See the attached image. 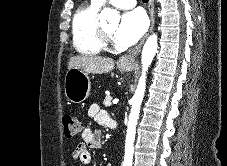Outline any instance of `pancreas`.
<instances>
[{
  "instance_id": "pancreas-1",
  "label": "pancreas",
  "mask_w": 227,
  "mask_h": 166,
  "mask_svg": "<svg viewBox=\"0 0 227 166\" xmlns=\"http://www.w3.org/2000/svg\"><path fill=\"white\" fill-rule=\"evenodd\" d=\"M111 101H112V97L109 96V95H107V96L105 97L104 102H103L104 106H105V107L111 106Z\"/></svg>"
}]
</instances>
